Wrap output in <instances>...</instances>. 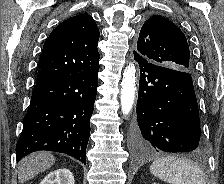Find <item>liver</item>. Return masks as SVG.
<instances>
[{"mask_svg":"<svg viewBox=\"0 0 224 184\" xmlns=\"http://www.w3.org/2000/svg\"><path fill=\"white\" fill-rule=\"evenodd\" d=\"M55 163V157L48 152H37L23 158L18 166L20 184L32 179L40 172L49 169Z\"/></svg>","mask_w":224,"mask_h":184,"instance_id":"obj_1","label":"liver"}]
</instances>
